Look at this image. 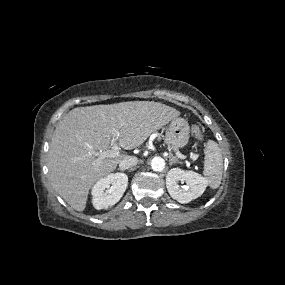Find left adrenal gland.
<instances>
[{
    "mask_svg": "<svg viewBox=\"0 0 285 285\" xmlns=\"http://www.w3.org/2000/svg\"><path fill=\"white\" fill-rule=\"evenodd\" d=\"M174 163H181L175 156L169 155V164L170 166Z\"/></svg>",
    "mask_w": 285,
    "mask_h": 285,
    "instance_id": "left-adrenal-gland-1",
    "label": "left adrenal gland"
}]
</instances>
